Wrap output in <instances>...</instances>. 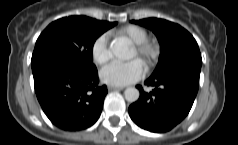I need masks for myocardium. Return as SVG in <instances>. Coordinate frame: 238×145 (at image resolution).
I'll list each match as a JSON object with an SVG mask.
<instances>
[{
  "label": "myocardium",
  "instance_id": "1",
  "mask_svg": "<svg viewBox=\"0 0 238 145\" xmlns=\"http://www.w3.org/2000/svg\"><path fill=\"white\" fill-rule=\"evenodd\" d=\"M133 49L136 56L144 60L146 64H149L152 60H154L159 53L157 44L149 40H144L143 42L134 45Z\"/></svg>",
  "mask_w": 238,
  "mask_h": 145
}]
</instances>
